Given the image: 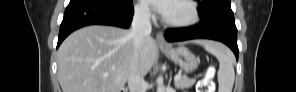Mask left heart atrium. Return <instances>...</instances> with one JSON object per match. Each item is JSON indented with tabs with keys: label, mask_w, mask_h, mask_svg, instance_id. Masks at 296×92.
<instances>
[{
	"label": "left heart atrium",
	"mask_w": 296,
	"mask_h": 92,
	"mask_svg": "<svg viewBox=\"0 0 296 92\" xmlns=\"http://www.w3.org/2000/svg\"><path fill=\"white\" fill-rule=\"evenodd\" d=\"M146 3L150 4L153 6V8L159 12L161 15L166 17L170 10H171V5L172 2L170 1H165V0H146Z\"/></svg>",
	"instance_id": "left-heart-atrium-1"
}]
</instances>
